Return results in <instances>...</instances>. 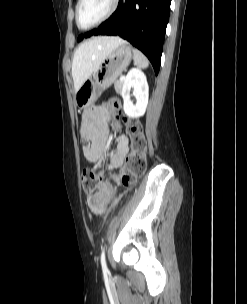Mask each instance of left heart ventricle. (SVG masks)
<instances>
[{
  "instance_id": "1",
  "label": "left heart ventricle",
  "mask_w": 247,
  "mask_h": 304,
  "mask_svg": "<svg viewBox=\"0 0 247 304\" xmlns=\"http://www.w3.org/2000/svg\"><path fill=\"white\" fill-rule=\"evenodd\" d=\"M112 0H84L79 10V24L87 27L98 21L110 8Z\"/></svg>"
}]
</instances>
